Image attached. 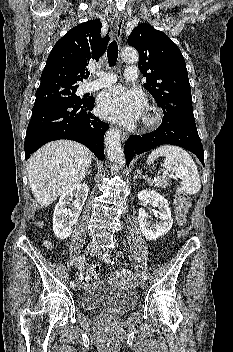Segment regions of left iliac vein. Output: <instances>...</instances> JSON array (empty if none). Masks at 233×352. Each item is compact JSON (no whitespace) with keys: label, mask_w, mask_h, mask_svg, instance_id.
<instances>
[{"label":"left iliac vein","mask_w":233,"mask_h":352,"mask_svg":"<svg viewBox=\"0 0 233 352\" xmlns=\"http://www.w3.org/2000/svg\"><path fill=\"white\" fill-rule=\"evenodd\" d=\"M102 253H103L102 248H101V247H97L96 250H95V252H94V255H95V256H101ZM140 287H141L142 289L146 288V281H145V280L142 279V281L140 282Z\"/></svg>","instance_id":"left-iliac-vein-1"}]
</instances>
